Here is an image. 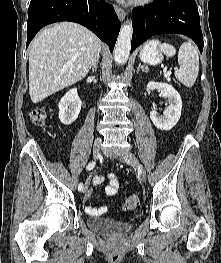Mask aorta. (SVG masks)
<instances>
[{
	"label": "aorta",
	"mask_w": 221,
	"mask_h": 263,
	"mask_svg": "<svg viewBox=\"0 0 221 263\" xmlns=\"http://www.w3.org/2000/svg\"><path fill=\"white\" fill-rule=\"evenodd\" d=\"M132 33V24L126 21L121 27L114 50V59L118 64H123L128 60L131 49Z\"/></svg>",
	"instance_id": "1"
}]
</instances>
